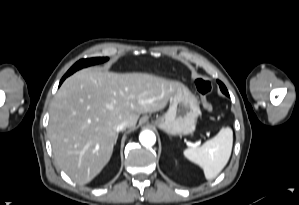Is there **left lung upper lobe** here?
<instances>
[{"mask_svg":"<svg viewBox=\"0 0 299 205\" xmlns=\"http://www.w3.org/2000/svg\"><path fill=\"white\" fill-rule=\"evenodd\" d=\"M218 83H219V86H220L221 91H222L224 94L228 93V91H227L225 85H224L222 82H220V81H218Z\"/></svg>","mask_w":299,"mask_h":205,"instance_id":"1","label":"left lung upper lobe"}]
</instances>
